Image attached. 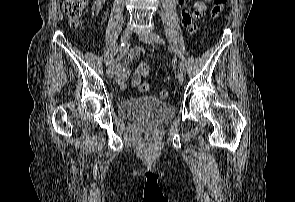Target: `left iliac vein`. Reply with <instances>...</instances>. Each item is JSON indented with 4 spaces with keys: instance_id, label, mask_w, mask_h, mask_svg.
Instances as JSON below:
<instances>
[{
    "instance_id": "obj_1",
    "label": "left iliac vein",
    "mask_w": 295,
    "mask_h": 202,
    "mask_svg": "<svg viewBox=\"0 0 295 202\" xmlns=\"http://www.w3.org/2000/svg\"><path fill=\"white\" fill-rule=\"evenodd\" d=\"M139 37L144 43H147V44L154 43L153 34L150 31H140ZM177 79L179 82L184 81V74L181 71L177 73Z\"/></svg>"
}]
</instances>
